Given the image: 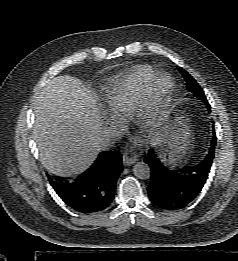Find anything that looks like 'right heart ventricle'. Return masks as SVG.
<instances>
[{"label": "right heart ventricle", "mask_w": 238, "mask_h": 261, "mask_svg": "<svg viewBox=\"0 0 238 261\" xmlns=\"http://www.w3.org/2000/svg\"><path fill=\"white\" fill-rule=\"evenodd\" d=\"M156 70L149 65H141L117 79L104 92L108 109L115 114H129L136 110L149 80Z\"/></svg>", "instance_id": "e07e8e85"}]
</instances>
